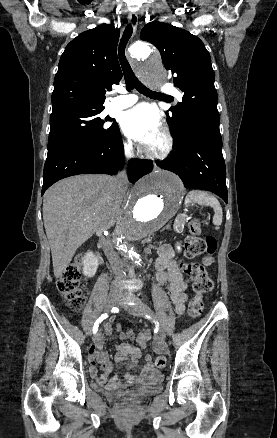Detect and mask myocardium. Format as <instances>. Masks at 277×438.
Here are the masks:
<instances>
[{"instance_id": "f54148a6", "label": "myocardium", "mask_w": 277, "mask_h": 438, "mask_svg": "<svg viewBox=\"0 0 277 438\" xmlns=\"http://www.w3.org/2000/svg\"><path fill=\"white\" fill-rule=\"evenodd\" d=\"M129 50V48H127ZM160 136L163 138V147L158 152H147L149 156L153 159H164L166 158L173 149V138L169 131L162 130Z\"/></svg>"}]
</instances>
